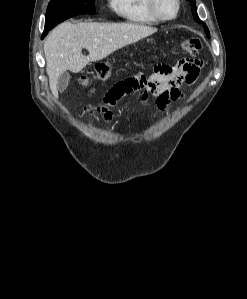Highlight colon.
I'll list each match as a JSON object with an SVG mask.
<instances>
[{
    "instance_id": "colon-1",
    "label": "colon",
    "mask_w": 247,
    "mask_h": 299,
    "mask_svg": "<svg viewBox=\"0 0 247 299\" xmlns=\"http://www.w3.org/2000/svg\"><path fill=\"white\" fill-rule=\"evenodd\" d=\"M182 48L189 55L195 56L201 51L202 43L199 38H189L183 41ZM111 72V67L108 64L101 63L96 67L91 77H82L81 83L88 86L93 80H106L110 77Z\"/></svg>"
}]
</instances>
